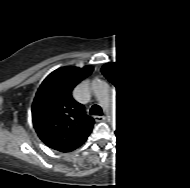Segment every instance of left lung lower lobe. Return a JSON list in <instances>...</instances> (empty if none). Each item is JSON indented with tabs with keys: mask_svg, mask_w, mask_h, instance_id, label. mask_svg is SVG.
<instances>
[{
	"mask_svg": "<svg viewBox=\"0 0 190 188\" xmlns=\"http://www.w3.org/2000/svg\"><path fill=\"white\" fill-rule=\"evenodd\" d=\"M115 133L118 140L128 149L144 151L157 138L159 131L138 128L126 123Z\"/></svg>",
	"mask_w": 190,
	"mask_h": 188,
	"instance_id": "obj_1",
	"label": "left lung lower lobe"
}]
</instances>
